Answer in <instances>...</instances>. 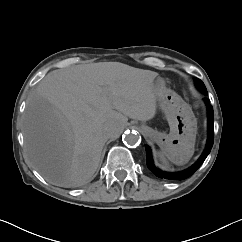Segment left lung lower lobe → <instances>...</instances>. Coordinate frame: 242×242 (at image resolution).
I'll return each instance as SVG.
<instances>
[{
  "instance_id": "1",
  "label": "left lung lower lobe",
  "mask_w": 242,
  "mask_h": 242,
  "mask_svg": "<svg viewBox=\"0 0 242 242\" xmlns=\"http://www.w3.org/2000/svg\"><path fill=\"white\" fill-rule=\"evenodd\" d=\"M204 101L206 103L207 110H208V139H207L206 148L203 151L202 155L191 167L183 171L173 172V173L163 172L154 165L152 160V155H151V149L148 146H145L147 166L157 177L168 179V180L186 179L190 177L201 166V164L204 162V160L210 153L214 142V128H213L214 113H213V107L210 104V100L205 98Z\"/></svg>"
}]
</instances>
